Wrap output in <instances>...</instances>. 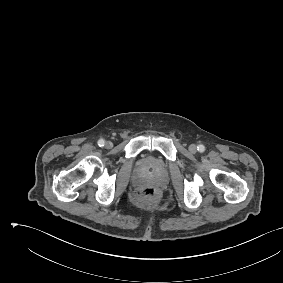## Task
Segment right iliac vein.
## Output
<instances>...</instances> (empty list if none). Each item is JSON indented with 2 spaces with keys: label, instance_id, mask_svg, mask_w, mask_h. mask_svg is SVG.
Masks as SVG:
<instances>
[{
  "label": "right iliac vein",
  "instance_id": "63e3f726",
  "mask_svg": "<svg viewBox=\"0 0 283 283\" xmlns=\"http://www.w3.org/2000/svg\"><path fill=\"white\" fill-rule=\"evenodd\" d=\"M113 146V144H112V142L111 141H107L106 143H105V147L106 148H111Z\"/></svg>",
  "mask_w": 283,
  "mask_h": 283
}]
</instances>
